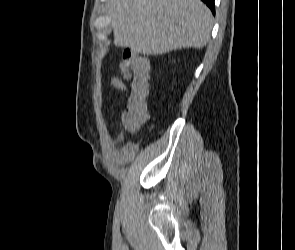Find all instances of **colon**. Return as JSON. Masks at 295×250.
Returning a JSON list of instances; mask_svg holds the SVG:
<instances>
[{"label":"colon","mask_w":295,"mask_h":250,"mask_svg":"<svg viewBox=\"0 0 295 250\" xmlns=\"http://www.w3.org/2000/svg\"><path fill=\"white\" fill-rule=\"evenodd\" d=\"M129 55H131L130 51L124 52L121 59ZM129 91V98L120 116L125 129L134 131L140 128L148 119V80L145 78H134L129 85Z\"/></svg>","instance_id":"obj_1"}]
</instances>
